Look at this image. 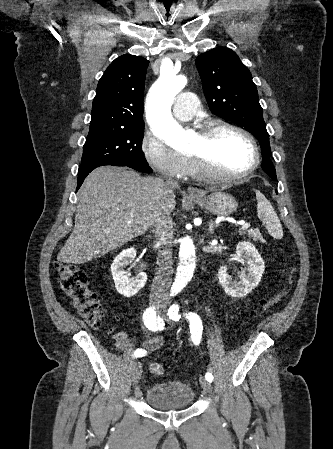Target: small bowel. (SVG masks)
Segmentation results:
<instances>
[{
    "instance_id": "small-bowel-1",
    "label": "small bowel",
    "mask_w": 333,
    "mask_h": 449,
    "mask_svg": "<svg viewBox=\"0 0 333 449\" xmlns=\"http://www.w3.org/2000/svg\"><path fill=\"white\" fill-rule=\"evenodd\" d=\"M113 344L119 351H124L130 347V340L128 336L124 332H118L114 334ZM161 344V338L158 336L149 338L145 343L144 347L147 350H153L157 348Z\"/></svg>"
}]
</instances>
